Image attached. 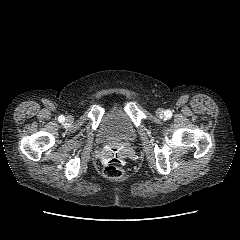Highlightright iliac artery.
<instances>
[{"mask_svg": "<svg viewBox=\"0 0 240 240\" xmlns=\"http://www.w3.org/2000/svg\"><path fill=\"white\" fill-rule=\"evenodd\" d=\"M58 120H59L60 122H63V121L65 120V117L61 115V116H59Z\"/></svg>", "mask_w": 240, "mask_h": 240, "instance_id": "1", "label": "right iliac artery"}]
</instances>
